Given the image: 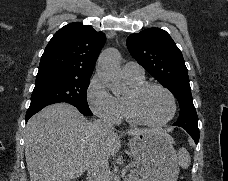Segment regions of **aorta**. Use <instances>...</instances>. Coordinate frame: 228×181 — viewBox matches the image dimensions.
<instances>
[{"label":"aorta","mask_w":228,"mask_h":181,"mask_svg":"<svg viewBox=\"0 0 228 181\" xmlns=\"http://www.w3.org/2000/svg\"><path fill=\"white\" fill-rule=\"evenodd\" d=\"M97 73L113 94H120L125 84L120 71V53L114 48L104 50L98 59Z\"/></svg>","instance_id":"obj_1"}]
</instances>
